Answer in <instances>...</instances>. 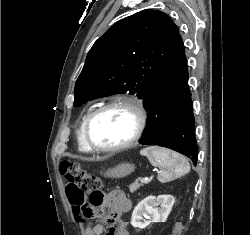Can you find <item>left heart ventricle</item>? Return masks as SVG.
<instances>
[{"label": "left heart ventricle", "instance_id": "obj_1", "mask_svg": "<svg viewBox=\"0 0 250 235\" xmlns=\"http://www.w3.org/2000/svg\"><path fill=\"white\" fill-rule=\"evenodd\" d=\"M134 128V115L125 108L114 107L95 118L90 127V138L97 146H114L127 141Z\"/></svg>", "mask_w": 250, "mask_h": 235}]
</instances>
